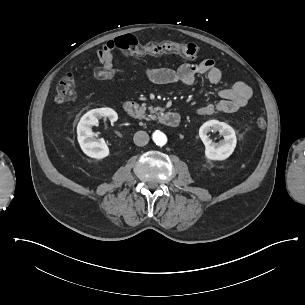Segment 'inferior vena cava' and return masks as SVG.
Instances as JSON below:
<instances>
[{
    "label": "inferior vena cava",
    "instance_id": "inferior-vena-cava-1",
    "mask_svg": "<svg viewBox=\"0 0 305 305\" xmlns=\"http://www.w3.org/2000/svg\"><path fill=\"white\" fill-rule=\"evenodd\" d=\"M133 140L137 146H145L149 142V135L145 131H138L134 134Z\"/></svg>",
    "mask_w": 305,
    "mask_h": 305
}]
</instances>
